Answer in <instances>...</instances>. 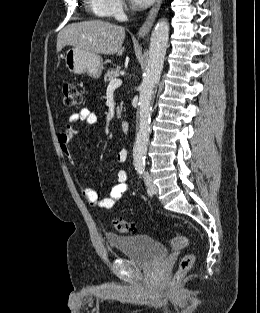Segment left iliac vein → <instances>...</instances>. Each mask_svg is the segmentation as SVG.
Masks as SVG:
<instances>
[{
	"label": "left iliac vein",
	"mask_w": 260,
	"mask_h": 313,
	"mask_svg": "<svg viewBox=\"0 0 260 313\" xmlns=\"http://www.w3.org/2000/svg\"><path fill=\"white\" fill-rule=\"evenodd\" d=\"M144 180H145L149 193L156 194L158 191L157 186L153 183L152 177L150 176L148 172H144Z\"/></svg>",
	"instance_id": "1"
}]
</instances>
